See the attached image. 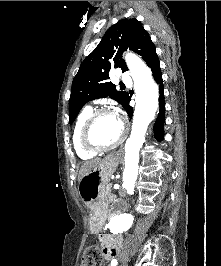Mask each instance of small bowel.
Instances as JSON below:
<instances>
[{
    "instance_id": "small-bowel-1",
    "label": "small bowel",
    "mask_w": 221,
    "mask_h": 266,
    "mask_svg": "<svg viewBox=\"0 0 221 266\" xmlns=\"http://www.w3.org/2000/svg\"><path fill=\"white\" fill-rule=\"evenodd\" d=\"M116 215L117 213L112 214L113 217ZM99 240L102 244L103 256L106 259L115 258L119 254L122 244V238L120 236L106 233L99 235Z\"/></svg>"
}]
</instances>
